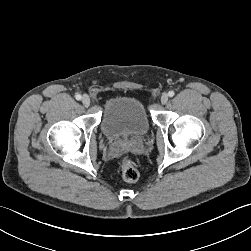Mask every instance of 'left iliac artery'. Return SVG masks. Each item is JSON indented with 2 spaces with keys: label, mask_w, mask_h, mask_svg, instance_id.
<instances>
[{
  "label": "left iliac artery",
  "mask_w": 251,
  "mask_h": 251,
  "mask_svg": "<svg viewBox=\"0 0 251 251\" xmlns=\"http://www.w3.org/2000/svg\"><path fill=\"white\" fill-rule=\"evenodd\" d=\"M174 94H175V92L173 90H171V91L168 92L169 97H173Z\"/></svg>",
  "instance_id": "1"
}]
</instances>
